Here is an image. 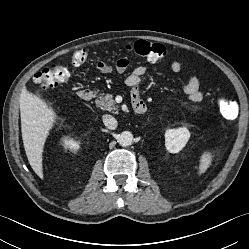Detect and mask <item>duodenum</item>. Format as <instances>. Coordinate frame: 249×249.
Segmentation results:
<instances>
[{"label": "duodenum", "instance_id": "1", "mask_svg": "<svg viewBox=\"0 0 249 249\" xmlns=\"http://www.w3.org/2000/svg\"><path fill=\"white\" fill-rule=\"evenodd\" d=\"M78 95L81 100L90 101L93 98L94 93L89 88H83L79 90ZM133 108L135 112L139 115L144 114L147 109L146 104L140 98L133 100Z\"/></svg>", "mask_w": 249, "mask_h": 249}]
</instances>
